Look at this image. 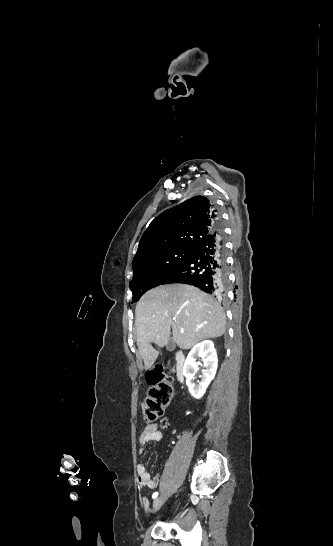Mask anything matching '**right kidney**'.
I'll return each instance as SVG.
<instances>
[{
    "instance_id": "ca27d5eb",
    "label": "right kidney",
    "mask_w": 333,
    "mask_h": 546,
    "mask_svg": "<svg viewBox=\"0 0 333 546\" xmlns=\"http://www.w3.org/2000/svg\"><path fill=\"white\" fill-rule=\"evenodd\" d=\"M197 357L203 358L205 369L201 381L194 383V376L198 369ZM217 366V353L212 341H203L191 349L183 366V375L186 379L189 392L195 399H200L204 395L208 385L215 377Z\"/></svg>"
}]
</instances>
